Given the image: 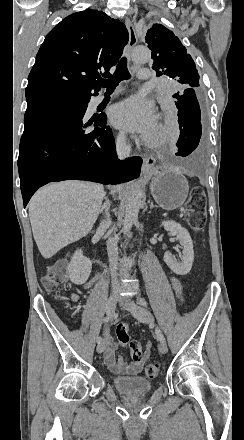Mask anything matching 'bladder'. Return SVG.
I'll list each match as a JSON object with an SVG mask.
<instances>
[{
	"instance_id": "bladder-1",
	"label": "bladder",
	"mask_w": 244,
	"mask_h": 440,
	"mask_svg": "<svg viewBox=\"0 0 244 440\" xmlns=\"http://www.w3.org/2000/svg\"><path fill=\"white\" fill-rule=\"evenodd\" d=\"M115 390L125 395L147 394L152 388V382L145 377H113Z\"/></svg>"
}]
</instances>
